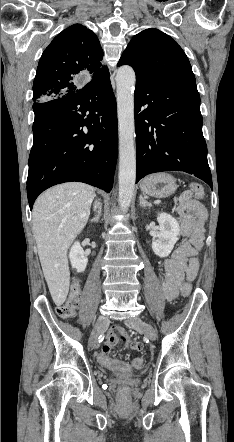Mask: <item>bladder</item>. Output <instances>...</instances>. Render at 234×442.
Wrapping results in <instances>:
<instances>
[{"mask_svg": "<svg viewBox=\"0 0 234 442\" xmlns=\"http://www.w3.org/2000/svg\"><path fill=\"white\" fill-rule=\"evenodd\" d=\"M114 375L119 378H130V377H134L136 375V373L131 370H129V371L127 370V371H116L114 373Z\"/></svg>", "mask_w": 234, "mask_h": 442, "instance_id": "1", "label": "bladder"}]
</instances>
